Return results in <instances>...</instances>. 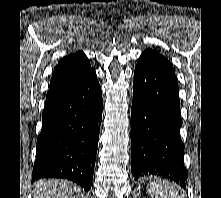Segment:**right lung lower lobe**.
<instances>
[{
	"label": "right lung lower lobe",
	"mask_w": 221,
	"mask_h": 198,
	"mask_svg": "<svg viewBox=\"0 0 221 198\" xmlns=\"http://www.w3.org/2000/svg\"><path fill=\"white\" fill-rule=\"evenodd\" d=\"M102 93L94 70L46 96L32 181L67 178L88 191L102 120Z\"/></svg>",
	"instance_id": "obj_1"
}]
</instances>
